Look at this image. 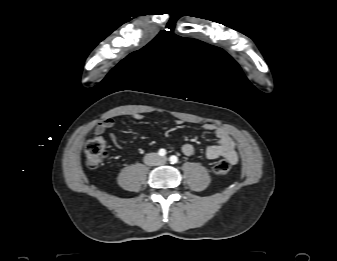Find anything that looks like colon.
<instances>
[{
	"label": "colon",
	"instance_id": "obj_1",
	"mask_svg": "<svg viewBox=\"0 0 337 261\" xmlns=\"http://www.w3.org/2000/svg\"><path fill=\"white\" fill-rule=\"evenodd\" d=\"M108 155L106 142L102 137L90 139L85 146V159L89 168L99 167ZM231 165L227 160H221L214 164L213 171L219 176L227 175Z\"/></svg>",
	"mask_w": 337,
	"mask_h": 261
}]
</instances>
